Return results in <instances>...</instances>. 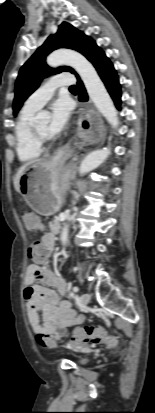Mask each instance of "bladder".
<instances>
[{
    "label": "bladder",
    "instance_id": "1",
    "mask_svg": "<svg viewBox=\"0 0 155 413\" xmlns=\"http://www.w3.org/2000/svg\"><path fill=\"white\" fill-rule=\"evenodd\" d=\"M78 362L79 364H82V365L87 364L89 362V358L86 356H82L79 358Z\"/></svg>",
    "mask_w": 155,
    "mask_h": 413
}]
</instances>
